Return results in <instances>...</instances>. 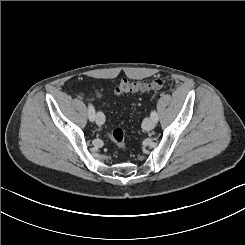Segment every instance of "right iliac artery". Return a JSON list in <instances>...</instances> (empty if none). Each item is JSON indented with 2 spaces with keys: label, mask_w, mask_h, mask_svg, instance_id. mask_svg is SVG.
<instances>
[{
  "label": "right iliac artery",
  "mask_w": 245,
  "mask_h": 245,
  "mask_svg": "<svg viewBox=\"0 0 245 245\" xmlns=\"http://www.w3.org/2000/svg\"><path fill=\"white\" fill-rule=\"evenodd\" d=\"M88 117L90 121L95 120V109L91 103L88 104Z\"/></svg>",
  "instance_id": "1"
}]
</instances>
